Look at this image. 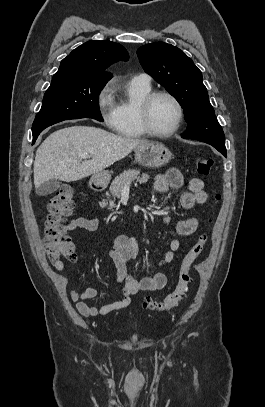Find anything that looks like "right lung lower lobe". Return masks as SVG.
Segmentation results:
<instances>
[{
  "label": "right lung lower lobe",
  "mask_w": 265,
  "mask_h": 407,
  "mask_svg": "<svg viewBox=\"0 0 265 407\" xmlns=\"http://www.w3.org/2000/svg\"><path fill=\"white\" fill-rule=\"evenodd\" d=\"M36 139H37V138L33 137V143L35 142Z\"/></svg>",
  "instance_id": "right-lung-lower-lobe-1"
}]
</instances>
